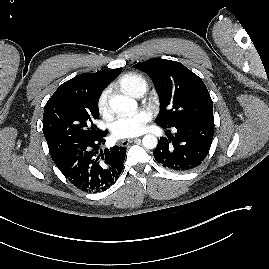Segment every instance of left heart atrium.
I'll return each mask as SVG.
<instances>
[{
    "instance_id": "left-heart-atrium-1",
    "label": "left heart atrium",
    "mask_w": 269,
    "mask_h": 269,
    "mask_svg": "<svg viewBox=\"0 0 269 269\" xmlns=\"http://www.w3.org/2000/svg\"><path fill=\"white\" fill-rule=\"evenodd\" d=\"M150 118L151 115L146 110H141L129 117H122L114 122L112 126L113 135L118 139L139 135Z\"/></svg>"
}]
</instances>
